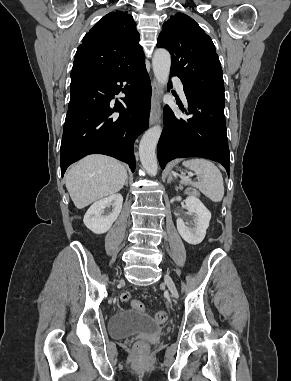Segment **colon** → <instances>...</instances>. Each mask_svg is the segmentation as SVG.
Segmentation results:
<instances>
[{
	"mask_svg": "<svg viewBox=\"0 0 291 381\" xmlns=\"http://www.w3.org/2000/svg\"><path fill=\"white\" fill-rule=\"evenodd\" d=\"M121 301L123 302H128L130 300V294L127 293V292H124L121 294ZM131 306L139 311V312H144L145 311V306L144 304L139 301V300H136V299H133L131 301ZM154 320L158 323V324H164L167 320V314L165 311H158L154 314ZM146 345L143 344V343H138L136 345V350L138 353H143L145 350H146Z\"/></svg>",
	"mask_w": 291,
	"mask_h": 381,
	"instance_id": "1",
	"label": "colon"
}]
</instances>
